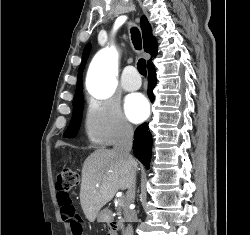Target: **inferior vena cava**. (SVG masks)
Listing matches in <instances>:
<instances>
[{
	"instance_id": "inferior-vena-cava-1",
	"label": "inferior vena cava",
	"mask_w": 250,
	"mask_h": 235,
	"mask_svg": "<svg viewBox=\"0 0 250 235\" xmlns=\"http://www.w3.org/2000/svg\"><path fill=\"white\" fill-rule=\"evenodd\" d=\"M134 132L131 126L127 123H122L119 131V135L114 147V151L119 156L121 160H123L127 165H131L133 162V158L130 155V151L132 148ZM135 179L130 184L127 191V204L124 208V217L127 222L132 223L137 220L136 212L130 208V204L133 202L135 197ZM123 235H133V228L131 224H128Z\"/></svg>"
}]
</instances>
